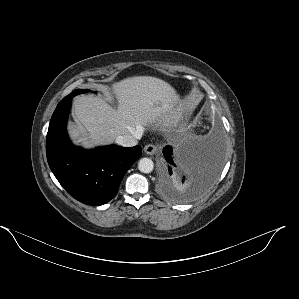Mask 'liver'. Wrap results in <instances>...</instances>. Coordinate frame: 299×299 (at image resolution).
<instances>
[{"mask_svg":"<svg viewBox=\"0 0 299 299\" xmlns=\"http://www.w3.org/2000/svg\"><path fill=\"white\" fill-rule=\"evenodd\" d=\"M118 107H111L101 97L77 96L73 100L76 125L70 123V137L85 148L111 144L118 136L156 122L176 124L184 102L164 80L152 76L126 78L112 85Z\"/></svg>","mask_w":299,"mask_h":299,"instance_id":"obj_1","label":"liver"}]
</instances>
